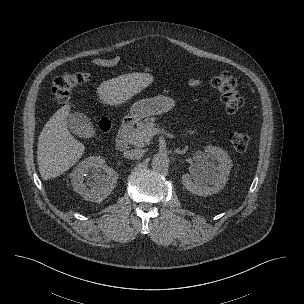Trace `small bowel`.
Here are the masks:
<instances>
[{"label":"small bowel","instance_id":"small-bowel-1","mask_svg":"<svg viewBox=\"0 0 304 304\" xmlns=\"http://www.w3.org/2000/svg\"><path fill=\"white\" fill-rule=\"evenodd\" d=\"M120 62L119 56H114L111 58H96L91 61V64L98 67H113L116 66ZM189 85L191 87H199L201 85V81L196 78H192L189 80Z\"/></svg>","mask_w":304,"mask_h":304}]
</instances>
